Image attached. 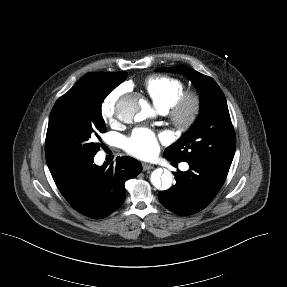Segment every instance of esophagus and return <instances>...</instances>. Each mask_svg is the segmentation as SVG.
Wrapping results in <instances>:
<instances>
[{
  "mask_svg": "<svg viewBox=\"0 0 287 287\" xmlns=\"http://www.w3.org/2000/svg\"><path fill=\"white\" fill-rule=\"evenodd\" d=\"M153 168L154 166L151 164H146V163L143 164V171L151 170Z\"/></svg>",
  "mask_w": 287,
  "mask_h": 287,
  "instance_id": "esophagus-1",
  "label": "esophagus"
}]
</instances>
